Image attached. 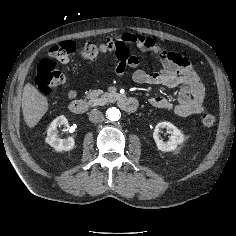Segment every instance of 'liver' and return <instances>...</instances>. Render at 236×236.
I'll list each match as a JSON object with an SVG mask.
<instances>
[{
  "label": "liver",
  "instance_id": "liver-1",
  "mask_svg": "<svg viewBox=\"0 0 236 236\" xmlns=\"http://www.w3.org/2000/svg\"><path fill=\"white\" fill-rule=\"evenodd\" d=\"M49 108L48 100L31 83L24 86L22 94V112L29 128H34Z\"/></svg>",
  "mask_w": 236,
  "mask_h": 236
}]
</instances>
